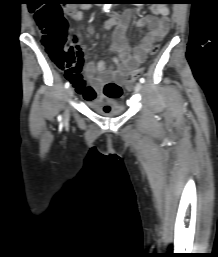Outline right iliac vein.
Here are the masks:
<instances>
[{
	"instance_id": "63e3f726",
	"label": "right iliac vein",
	"mask_w": 218,
	"mask_h": 257,
	"mask_svg": "<svg viewBox=\"0 0 218 257\" xmlns=\"http://www.w3.org/2000/svg\"><path fill=\"white\" fill-rule=\"evenodd\" d=\"M73 93H74V91H73V88H72V87H70V88L67 89V97H68L69 99L73 97ZM68 114H69V107L66 109L65 117H67Z\"/></svg>"
}]
</instances>
